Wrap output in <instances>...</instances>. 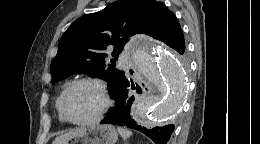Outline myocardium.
<instances>
[{
	"instance_id": "obj_1",
	"label": "myocardium",
	"mask_w": 260,
	"mask_h": 144,
	"mask_svg": "<svg viewBox=\"0 0 260 144\" xmlns=\"http://www.w3.org/2000/svg\"><path fill=\"white\" fill-rule=\"evenodd\" d=\"M82 84H90L98 90V92L101 96L102 105H101L100 110L94 117L87 119V120H83V121H75V120L71 119L70 116L68 115L67 102H68V99H69L70 95L72 94V92L79 85H82ZM109 106H110V98H109L105 85L98 79L87 77V78L78 79L69 86V88L66 90V92L62 98L61 111H62V115H63L64 119L68 123L76 125V126H86V125H91V124L98 122L104 116V114L108 110Z\"/></svg>"
}]
</instances>
